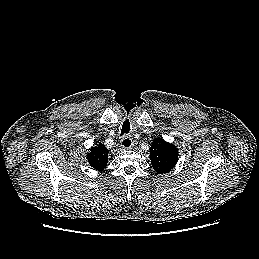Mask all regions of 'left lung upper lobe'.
Returning <instances> with one entry per match:
<instances>
[{
  "label": "left lung upper lobe",
  "instance_id": "1",
  "mask_svg": "<svg viewBox=\"0 0 259 259\" xmlns=\"http://www.w3.org/2000/svg\"><path fill=\"white\" fill-rule=\"evenodd\" d=\"M150 159L152 167L157 173H167L177 163L178 149L163 138H156L151 144Z\"/></svg>",
  "mask_w": 259,
  "mask_h": 259
}]
</instances>
